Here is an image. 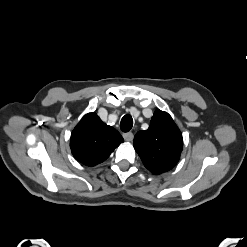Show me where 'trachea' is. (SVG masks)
Segmentation results:
<instances>
[{
    "mask_svg": "<svg viewBox=\"0 0 247 247\" xmlns=\"http://www.w3.org/2000/svg\"><path fill=\"white\" fill-rule=\"evenodd\" d=\"M133 126V119L130 115H124L120 122V129L123 132H128Z\"/></svg>",
    "mask_w": 247,
    "mask_h": 247,
    "instance_id": "obj_1",
    "label": "trachea"
}]
</instances>
